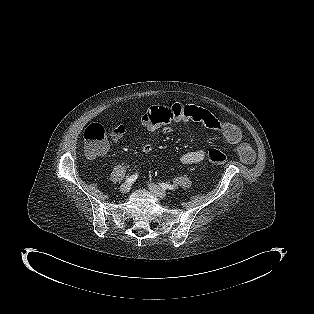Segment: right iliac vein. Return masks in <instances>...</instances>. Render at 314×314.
I'll return each mask as SVG.
<instances>
[{"label": "right iliac vein", "mask_w": 314, "mask_h": 314, "mask_svg": "<svg viewBox=\"0 0 314 314\" xmlns=\"http://www.w3.org/2000/svg\"><path fill=\"white\" fill-rule=\"evenodd\" d=\"M130 189H131L130 183H123V184L120 186V191H121V193H127V192H129Z\"/></svg>", "instance_id": "63e3f726"}]
</instances>
